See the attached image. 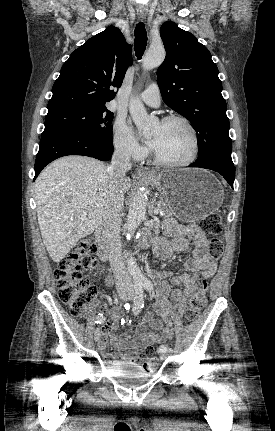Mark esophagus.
<instances>
[{
  "mask_svg": "<svg viewBox=\"0 0 275 431\" xmlns=\"http://www.w3.org/2000/svg\"><path fill=\"white\" fill-rule=\"evenodd\" d=\"M137 14L143 20L146 18V10L144 8H137ZM136 174L139 176H151L152 172L144 170L143 168H137Z\"/></svg>",
  "mask_w": 275,
  "mask_h": 431,
  "instance_id": "34e87169",
  "label": "esophagus"
}]
</instances>
